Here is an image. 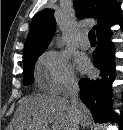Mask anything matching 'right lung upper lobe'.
<instances>
[{
	"label": "right lung upper lobe",
	"instance_id": "right-lung-upper-lobe-1",
	"mask_svg": "<svg viewBox=\"0 0 123 130\" xmlns=\"http://www.w3.org/2000/svg\"><path fill=\"white\" fill-rule=\"evenodd\" d=\"M74 8L83 18H96V34L107 30L111 25L123 21L122 10L117 0H74ZM53 9H44L33 18L27 36L24 55L43 53L51 41L56 21Z\"/></svg>",
	"mask_w": 123,
	"mask_h": 130
}]
</instances>
